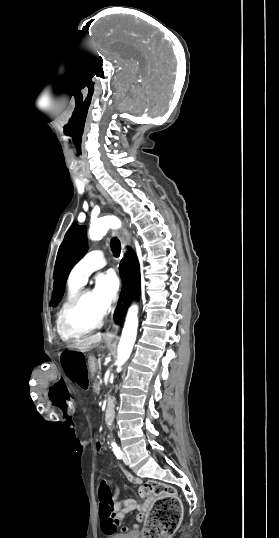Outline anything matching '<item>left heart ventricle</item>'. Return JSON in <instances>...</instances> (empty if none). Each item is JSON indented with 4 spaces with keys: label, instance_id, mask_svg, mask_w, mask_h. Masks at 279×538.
I'll return each instance as SVG.
<instances>
[{
    "label": "left heart ventricle",
    "instance_id": "left-heart-ventricle-1",
    "mask_svg": "<svg viewBox=\"0 0 279 538\" xmlns=\"http://www.w3.org/2000/svg\"><path fill=\"white\" fill-rule=\"evenodd\" d=\"M103 314V308L95 292L91 291L84 302L74 310L71 323L77 329L86 328L94 324Z\"/></svg>",
    "mask_w": 279,
    "mask_h": 538
}]
</instances>
